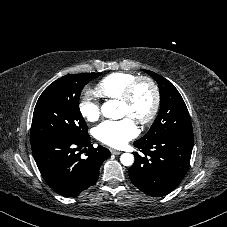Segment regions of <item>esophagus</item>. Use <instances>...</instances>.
<instances>
[{
  "label": "esophagus",
  "instance_id": "34e87169",
  "mask_svg": "<svg viewBox=\"0 0 227 227\" xmlns=\"http://www.w3.org/2000/svg\"><path fill=\"white\" fill-rule=\"evenodd\" d=\"M110 152L112 153V154H115V155H119V154H121V151H118V150H115V149H110Z\"/></svg>",
  "mask_w": 227,
  "mask_h": 227
}]
</instances>
